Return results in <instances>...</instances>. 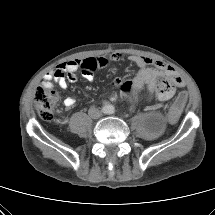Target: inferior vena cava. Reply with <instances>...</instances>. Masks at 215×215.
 Returning <instances> with one entry per match:
<instances>
[{
  "instance_id": "1",
  "label": "inferior vena cava",
  "mask_w": 215,
  "mask_h": 215,
  "mask_svg": "<svg viewBox=\"0 0 215 215\" xmlns=\"http://www.w3.org/2000/svg\"><path fill=\"white\" fill-rule=\"evenodd\" d=\"M88 114L93 119H97L102 115L101 111L99 109L95 108V107H91L88 110Z\"/></svg>"
}]
</instances>
